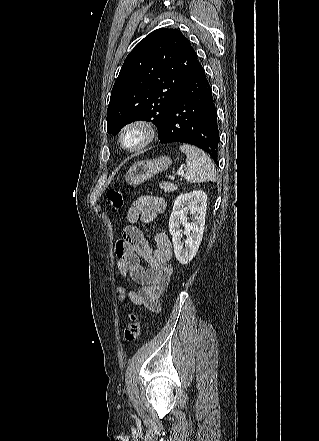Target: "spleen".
<instances>
[{
	"mask_svg": "<svg viewBox=\"0 0 319 441\" xmlns=\"http://www.w3.org/2000/svg\"><path fill=\"white\" fill-rule=\"evenodd\" d=\"M180 150L186 154L187 170L184 175L186 181L201 183L216 180L214 164L204 151L189 144L181 145Z\"/></svg>",
	"mask_w": 319,
	"mask_h": 441,
	"instance_id": "3e777b00",
	"label": "spleen"
}]
</instances>
